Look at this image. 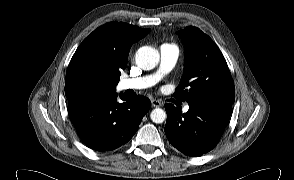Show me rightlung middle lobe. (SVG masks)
Listing matches in <instances>:
<instances>
[{
	"instance_id": "obj_1",
	"label": "right lung middle lobe",
	"mask_w": 294,
	"mask_h": 180,
	"mask_svg": "<svg viewBox=\"0 0 294 180\" xmlns=\"http://www.w3.org/2000/svg\"><path fill=\"white\" fill-rule=\"evenodd\" d=\"M108 75L93 65L82 66L73 80L74 92L82 98L100 96L107 88Z\"/></svg>"
}]
</instances>
